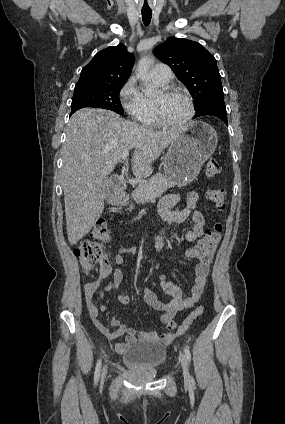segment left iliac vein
<instances>
[{
	"label": "left iliac vein",
	"mask_w": 285,
	"mask_h": 424,
	"mask_svg": "<svg viewBox=\"0 0 285 424\" xmlns=\"http://www.w3.org/2000/svg\"><path fill=\"white\" fill-rule=\"evenodd\" d=\"M180 362H181V366H182L184 382L186 384H189L190 383V377H189V371H188V362H187V358L184 354H180Z\"/></svg>",
	"instance_id": "1"
}]
</instances>
